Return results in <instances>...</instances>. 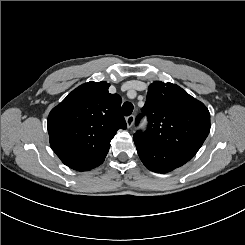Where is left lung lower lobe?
Returning a JSON list of instances; mask_svg holds the SVG:
<instances>
[{"label": "left lung lower lobe", "mask_w": 245, "mask_h": 245, "mask_svg": "<svg viewBox=\"0 0 245 245\" xmlns=\"http://www.w3.org/2000/svg\"><path fill=\"white\" fill-rule=\"evenodd\" d=\"M136 148L143 164L150 171L156 173H168L187 162L176 154L166 150L152 149L140 145H136Z\"/></svg>", "instance_id": "0a47b994"}]
</instances>
